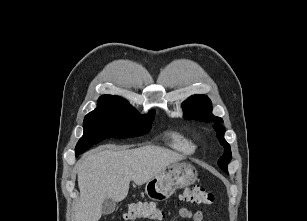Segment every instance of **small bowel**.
Segmentation results:
<instances>
[{"label": "small bowel", "mask_w": 307, "mask_h": 221, "mask_svg": "<svg viewBox=\"0 0 307 221\" xmlns=\"http://www.w3.org/2000/svg\"><path fill=\"white\" fill-rule=\"evenodd\" d=\"M178 214L180 215V217L191 221H202L203 219V213L201 211H191L190 209L185 207L179 208Z\"/></svg>", "instance_id": "1"}]
</instances>
